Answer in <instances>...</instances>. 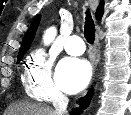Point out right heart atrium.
<instances>
[{"instance_id": "right-heart-atrium-1", "label": "right heart atrium", "mask_w": 131, "mask_h": 115, "mask_svg": "<svg viewBox=\"0 0 131 115\" xmlns=\"http://www.w3.org/2000/svg\"><path fill=\"white\" fill-rule=\"evenodd\" d=\"M53 58L43 49L32 52L26 60L23 85L31 98L53 102L64 97L52 78Z\"/></svg>"}]
</instances>
